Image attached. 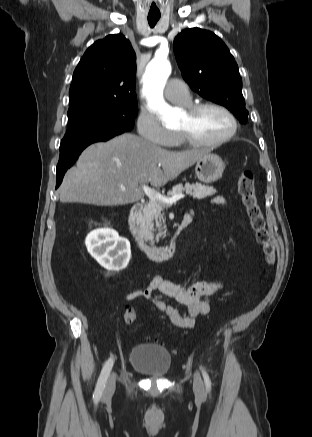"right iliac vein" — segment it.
<instances>
[{
	"mask_svg": "<svg viewBox=\"0 0 312 437\" xmlns=\"http://www.w3.org/2000/svg\"><path fill=\"white\" fill-rule=\"evenodd\" d=\"M116 375L112 373L106 383L104 390V399H109L115 390Z\"/></svg>",
	"mask_w": 312,
	"mask_h": 437,
	"instance_id": "1",
	"label": "right iliac vein"
}]
</instances>
